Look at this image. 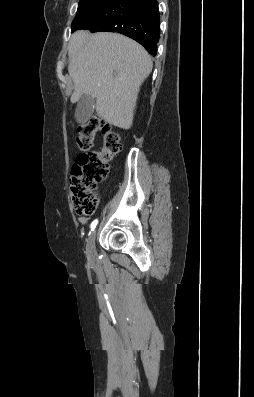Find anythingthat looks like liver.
Returning a JSON list of instances; mask_svg holds the SVG:
<instances>
[{
    "instance_id": "liver-1",
    "label": "liver",
    "mask_w": 254,
    "mask_h": 397,
    "mask_svg": "<svg viewBox=\"0 0 254 397\" xmlns=\"http://www.w3.org/2000/svg\"><path fill=\"white\" fill-rule=\"evenodd\" d=\"M68 56L74 83L71 101L90 95L101 118L129 129L140 87L153 66L146 50L118 33L79 30L70 38Z\"/></svg>"
}]
</instances>
